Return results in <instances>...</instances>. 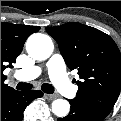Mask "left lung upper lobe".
<instances>
[{
  "mask_svg": "<svg viewBox=\"0 0 121 121\" xmlns=\"http://www.w3.org/2000/svg\"><path fill=\"white\" fill-rule=\"evenodd\" d=\"M46 30L58 42L68 67L77 69L82 79L77 81L74 99L107 116L121 89V55L116 43L104 32L80 23Z\"/></svg>",
  "mask_w": 121,
  "mask_h": 121,
  "instance_id": "obj_1",
  "label": "left lung upper lobe"
}]
</instances>
